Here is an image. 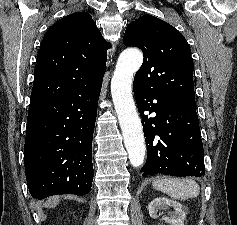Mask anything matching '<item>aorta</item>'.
<instances>
[{"mask_svg": "<svg viewBox=\"0 0 237 225\" xmlns=\"http://www.w3.org/2000/svg\"><path fill=\"white\" fill-rule=\"evenodd\" d=\"M143 54L137 49L124 50L111 80V95L132 166L143 165L146 146L140 117L132 95V81L141 67Z\"/></svg>", "mask_w": 237, "mask_h": 225, "instance_id": "1", "label": "aorta"}]
</instances>
